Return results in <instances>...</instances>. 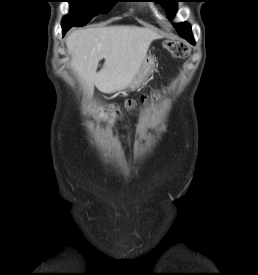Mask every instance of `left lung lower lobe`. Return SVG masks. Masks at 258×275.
I'll use <instances>...</instances> for the list:
<instances>
[{"label": "left lung lower lobe", "instance_id": "0a47b994", "mask_svg": "<svg viewBox=\"0 0 258 275\" xmlns=\"http://www.w3.org/2000/svg\"><path fill=\"white\" fill-rule=\"evenodd\" d=\"M182 37L184 38V39H186L189 43H191V44H195V42H194V39H193V36H192V33L191 32H189V33H187V34H184V35H182Z\"/></svg>", "mask_w": 258, "mask_h": 275}]
</instances>
